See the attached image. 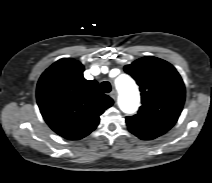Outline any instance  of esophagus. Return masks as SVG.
<instances>
[{
  "instance_id": "obj_1",
  "label": "esophagus",
  "mask_w": 212,
  "mask_h": 183,
  "mask_svg": "<svg viewBox=\"0 0 212 183\" xmlns=\"http://www.w3.org/2000/svg\"><path fill=\"white\" fill-rule=\"evenodd\" d=\"M110 97H111L113 100H116V98H117V91L113 90V91L110 93Z\"/></svg>"
}]
</instances>
